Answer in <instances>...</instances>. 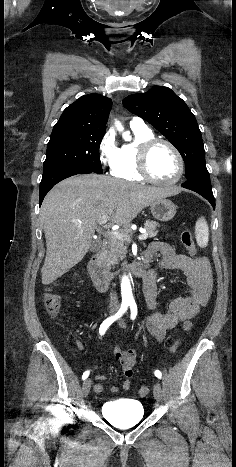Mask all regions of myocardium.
Returning <instances> with one entry per match:
<instances>
[{"mask_svg": "<svg viewBox=\"0 0 236 467\" xmlns=\"http://www.w3.org/2000/svg\"><path fill=\"white\" fill-rule=\"evenodd\" d=\"M158 144H164L167 147H169L172 152L175 154L178 163H179V171L178 174L176 175L175 178L164 181V180H159L156 179L150 172L149 169V157L152 149L158 145ZM137 170L139 174L147 181L158 184V185H173L176 184L181 180V178L184 175L185 172V162L184 158L181 154V152L178 150V148L169 140L163 139V138H158V137H152L149 139L144 140L143 142L140 143L138 146L137 150Z\"/></svg>", "mask_w": 236, "mask_h": 467, "instance_id": "obj_1", "label": "myocardium"}]
</instances>
